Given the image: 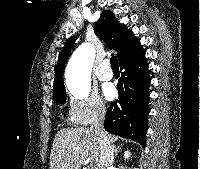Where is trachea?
Segmentation results:
<instances>
[{"label":"trachea","instance_id":"trachea-1","mask_svg":"<svg viewBox=\"0 0 200 169\" xmlns=\"http://www.w3.org/2000/svg\"><path fill=\"white\" fill-rule=\"evenodd\" d=\"M110 64L113 71H119V65H118V60L116 56L111 57Z\"/></svg>","mask_w":200,"mask_h":169}]
</instances>
